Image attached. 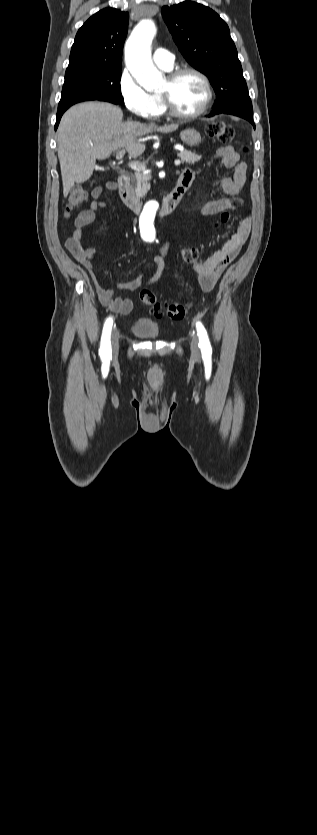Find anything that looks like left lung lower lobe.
<instances>
[{
  "label": "left lung lower lobe",
  "mask_w": 317,
  "mask_h": 835,
  "mask_svg": "<svg viewBox=\"0 0 317 835\" xmlns=\"http://www.w3.org/2000/svg\"><path fill=\"white\" fill-rule=\"evenodd\" d=\"M220 113L232 114V115L244 118V119L248 120L253 125V127L255 128V124L253 122V114L247 113V112H245L243 110H240V109H227V110H223V111L213 110L208 116L211 117V116H214L215 114H220Z\"/></svg>",
  "instance_id": "obj_1"
}]
</instances>
